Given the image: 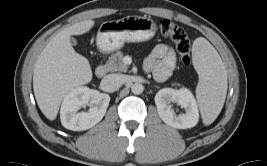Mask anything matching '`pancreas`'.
Wrapping results in <instances>:
<instances>
[{
    "label": "pancreas",
    "instance_id": "pancreas-1",
    "mask_svg": "<svg viewBox=\"0 0 267 166\" xmlns=\"http://www.w3.org/2000/svg\"><path fill=\"white\" fill-rule=\"evenodd\" d=\"M105 66L111 72H126L128 69V66L124 63V55L120 51L113 53Z\"/></svg>",
    "mask_w": 267,
    "mask_h": 166
}]
</instances>
